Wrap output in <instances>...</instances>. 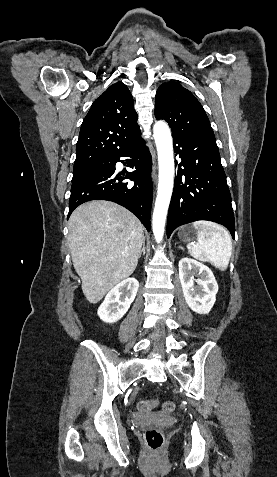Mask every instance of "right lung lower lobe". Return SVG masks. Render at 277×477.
Here are the masks:
<instances>
[{
	"label": "right lung lower lobe",
	"instance_id": "98d812e1",
	"mask_svg": "<svg viewBox=\"0 0 277 477\" xmlns=\"http://www.w3.org/2000/svg\"><path fill=\"white\" fill-rule=\"evenodd\" d=\"M127 157L133 172H118L116 163ZM125 164V163H124ZM152 158L140 137L123 150L111 155L91 171L72 180L69 214L80 204L91 200H108L130 210L150 231V213L153 197L151 181ZM124 179L135 182L127 186Z\"/></svg>",
	"mask_w": 277,
	"mask_h": 477
}]
</instances>
